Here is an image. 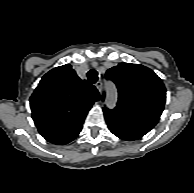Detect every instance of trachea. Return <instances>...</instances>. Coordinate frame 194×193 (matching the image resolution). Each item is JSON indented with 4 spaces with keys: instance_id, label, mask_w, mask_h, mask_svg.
I'll return each instance as SVG.
<instances>
[{
    "instance_id": "trachea-1",
    "label": "trachea",
    "mask_w": 194,
    "mask_h": 193,
    "mask_svg": "<svg viewBox=\"0 0 194 193\" xmlns=\"http://www.w3.org/2000/svg\"><path fill=\"white\" fill-rule=\"evenodd\" d=\"M87 77L90 83L95 84L98 80V73L95 70H90Z\"/></svg>"
}]
</instances>
